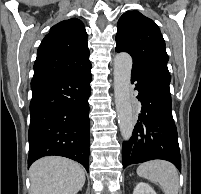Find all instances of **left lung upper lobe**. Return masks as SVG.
Segmentation results:
<instances>
[{
	"label": "left lung upper lobe",
	"mask_w": 201,
	"mask_h": 194,
	"mask_svg": "<svg viewBox=\"0 0 201 194\" xmlns=\"http://www.w3.org/2000/svg\"><path fill=\"white\" fill-rule=\"evenodd\" d=\"M116 52H128L134 71L159 74L171 80L165 41L153 20L138 11H127L117 23Z\"/></svg>",
	"instance_id": "obj_1"
}]
</instances>
